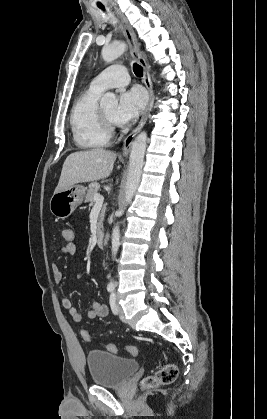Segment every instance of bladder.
Returning <instances> with one entry per match:
<instances>
[{
	"instance_id": "1",
	"label": "bladder",
	"mask_w": 267,
	"mask_h": 419,
	"mask_svg": "<svg viewBox=\"0 0 267 419\" xmlns=\"http://www.w3.org/2000/svg\"><path fill=\"white\" fill-rule=\"evenodd\" d=\"M86 360L92 382L101 387H121L139 369L136 360L103 350L89 351Z\"/></svg>"
}]
</instances>
